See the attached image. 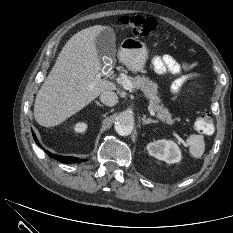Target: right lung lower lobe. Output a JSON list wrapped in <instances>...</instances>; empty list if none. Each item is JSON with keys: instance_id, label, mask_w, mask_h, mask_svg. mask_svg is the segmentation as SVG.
<instances>
[{"instance_id": "obj_1", "label": "right lung lower lobe", "mask_w": 233, "mask_h": 233, "mask_svg": "<svg viewBox=\"0 0 233 233\" xmlns=\"http://www.w3.org/2000/svg\"><path fill=\"white\" fill-rule=\"evenodd\" d=\"M32 134H33V138H34L35 142L39 145V142H38L35 134L33 133V131H32ZM47 154L50 157L54 158L55 160H58V161L63 162V163H77V162L85 161L83 159H78L76 157L60 156V155H56V154H51L49 152H47Z\"/></svg>"}]
</instances>
